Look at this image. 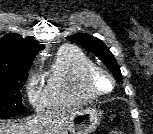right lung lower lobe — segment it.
Returning a JSON list of instances; mask_svg holds the SVG:
<instances>
[{
  "label": "right lung lower lobe",
  "instance_id": "obj_1",
  "mask_svg": "<svg viewBox=\"0 0 153 134\" xmlns=\"http://www.w3.org/2000/svg\"><path fill=\"white\" fill-rule=\"evenodd\" d=\"M8 118V116H0V119Z\"/></svg>",
  "mask_w": 153,
  "mask_h": 134
}]
</instances>
